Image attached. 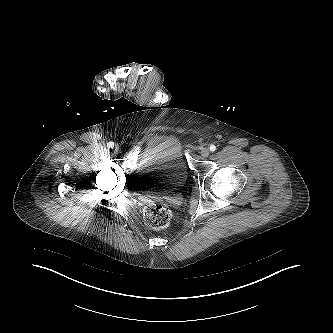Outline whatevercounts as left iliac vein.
I'll use <instances>...</instances> for the list:
<instances>
[{
	"instance_id": "1",
	"label": "left iliac vein",
	"mask_w": 333,
	"mask_h": 333,
	"mask_svg": "<svg viewBox=\"0 0 333 333\" xmlns=\"http://www.w3.org/2000/svg\"><path fill=\"white\" fill-rule=\"evenodd\" d=\"M201 155L203 156V157H207L208 155H209V153H210V150H209V148H207V147H204V148H202L201 149Z\"/></svg>"
}]
</instances>
